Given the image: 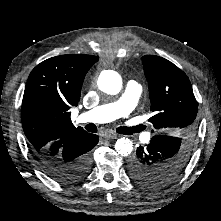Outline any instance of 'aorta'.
Segmentation results:
<instances>
[{
  "label": "aorta",
  "mask_w": 221,
  "mask_h": 221,
  "mask_svg": "<svg viewBox=\"0 0 221 221\" xmlns=\"http://www.w3.org/2000/svg\"><path fill=\"white\" fill-rule=\"evenodd\" d=\"M97 85L101 91L116 95L122 88V79L116 71L104 70L98 77ZM115 150L121 156H128L133 150V143L129 138H120L115 143Z\"/></svg>",
  "instance_id": "1"
}]
</instances>
